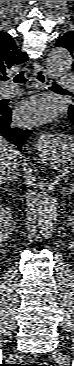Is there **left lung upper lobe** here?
<instances>
[{"instance_id":"1","label":"left lung upper lobe","mask_w":74,"mask_h":366,"mask_svg":"<svg viewBox=\"0 0 74 366\" xmlns=\"http://www.w3.org/2000/svg\"><path fill=\"white\" fill-rule=\"evenodd\" d=\"M56 46H61L70 51L74 60V31L66 32L63 36L59 37L56 41ZM73 72H74V62H73ZM74 97V93L72 94ZM74 102V99H73Z\"/></svg>"}]
</instances>
